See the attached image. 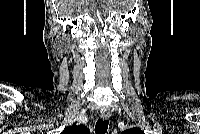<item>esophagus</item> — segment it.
I'll list each match as a JSON object with an SVG mask.
<instances>
[{
    "label": "esophagus",
    "instance_id": "34e87169",
    "mask_svg": "<svg viewBox=\"0 0 200 134\" xmlns=\"http://www.w3.org/2000/svg\"><path fill=\"white\" fill-rule=\"evenodd\" d=\"M100 117L103 120H106L110 117V111L107 108H102L100 110Z\"/></svg>",
    "mask_w": 200,
    "mask_h": 134
}]
</instances>
